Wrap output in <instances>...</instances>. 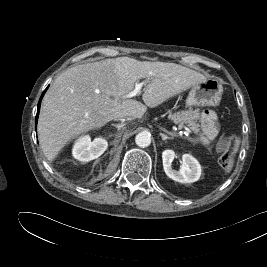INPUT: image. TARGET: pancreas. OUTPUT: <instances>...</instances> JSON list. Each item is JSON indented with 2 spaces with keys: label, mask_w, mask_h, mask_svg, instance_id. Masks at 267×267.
<instances>
[{
  "label": "pancreas",
  "mask_w": 267,
  "mask_h": 267,
  "mask_svg": "<svg viewBox=\"0 0 267 267\" xmlns=\"http://www.w3.org/2000/svg\"><path fill=\"white\" fill-rule=\"evenodd\" d=\"M197 111H180L174 114H170V118L175 124L180 126L187 125L195 133L200 132V125L197 123Z\"/></svg>",
  "instance_id": "pancreas-1"
}]
</instances>
